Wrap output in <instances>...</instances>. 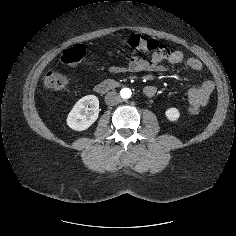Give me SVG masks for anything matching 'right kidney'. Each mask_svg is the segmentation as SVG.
<instances>
[{"mask_svg": "<svg viewBox=\"0 0 236 236\" xmlns=\"http://www.w3.org/2000/svg\"><path fill=\"white\" fill-rule=\"evenodd\" d=\"M99 100L95 95L81 98L72 108L67 117V125L76 131L89 128L98 118Z\"/></svg>", "mask_w": 236, "mask_h": 236, "instance_id": "obj_1", "label": "right kidney"}]
</instances>
